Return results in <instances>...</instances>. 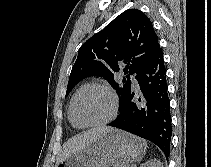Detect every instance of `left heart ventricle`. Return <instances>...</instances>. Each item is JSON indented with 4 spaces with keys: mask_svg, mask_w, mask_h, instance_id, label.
Instances as JSON below:
<instances>
[{
    "mask_svg": "<svg viewBox=\"0 0 211 167\" xmlns=\"http://www.w3.org/2000/svg\"><path fill=\"white\" fill-rule=\"evenodd\" d=\"M111 112V97L100 88H90L83 92L75 106V116L82 123L102 121L109 117Z\"/></svg>",
    "mask_w": 211,
    "mask_h": 167,
    "instance_id": "1",
    "label": "left heart ventricle"
}]
</instances>
